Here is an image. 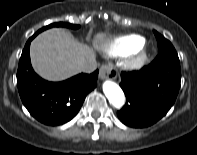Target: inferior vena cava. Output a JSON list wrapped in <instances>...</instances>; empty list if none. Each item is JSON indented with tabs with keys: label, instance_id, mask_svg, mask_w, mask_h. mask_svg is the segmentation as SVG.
<instances>
[{
	"label": "inferior vena cava",
	"instance_id": "inferior-vena-cava-1",
	"mask_svg": "<svg viewBox=\"0 0 197 155\" xmlns=\"http://www.w3.org/2000/svg\"><path fill=\"white\" fill-rule=\"evenodd\" d=\"M97 68V62L95 60L85 63L81 67V71L85 73H92Z\"/></svg>",
	"mask_w": 197,
	"mask_h": 155
}]
</instances>
